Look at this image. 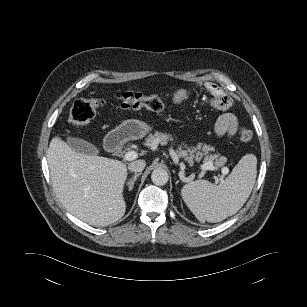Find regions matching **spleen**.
Wrapping results in <instances>:
<instances>
[{
    "label": "spleen",
    "instance_id": "spleen-1",
    "mask_svg": "<svg viewBox=\"0 0 307 307\" xmlns=\"http://www.w3.org/2000/svg\"><path fill=\"white\" fill-rule=\"evenodd\" d=\"M257 176V158L244 155L219 185L197 180L183 186L181 195L200 222L223 221L240 210L249 198Z\"/></svg>",
    "mask_w": 307,
    "mask_h": 307
}]
</instances>
